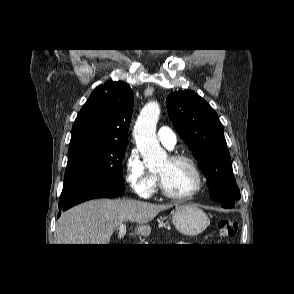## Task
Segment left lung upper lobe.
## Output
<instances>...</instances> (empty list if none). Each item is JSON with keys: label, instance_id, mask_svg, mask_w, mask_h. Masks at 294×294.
I'll list each match as a JSON object with an SVG mask.
<instances>
[{"label": "left lung upper lobe", "instance_id": "5c2ea615", "mask_svg": "<svg viewBox=\"0 0 294 294\" xmlns=\"http://www.w3.org/2000/svg\"><path fill=\"white\" fill-rule=\"evenodd\" d=\"M169 117L207 179L210 197L240 199L217 113L197 93L176 91L166 100Z\"/></svg>", "mask_w": 294, "mask_h": 294}]
</instances>
